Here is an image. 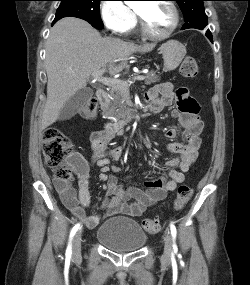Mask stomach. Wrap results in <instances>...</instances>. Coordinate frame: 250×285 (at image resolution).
<instances>
[{"label": "stomach", "mask_w": 250, "mask_h": 285, "mask_svg": "<svg viewBox=\"0 0 250 285\" xmlns=\"http://www.w3.org/2000/svg\"><path fill=\"white\" fill-rule=\"evenodd\" d=\"M159 51L163 56L165 72L175 70L186 55L185 46L176 40L167 41L160 47Z\"/></svg>", "instance_id": "1"}]
</instances>
